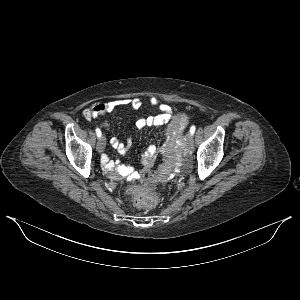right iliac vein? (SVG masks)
Masks as SVG:
<instances>
[{
  "label": "right iliac vein",
  "mask_w": 300,
  "mask_h": 300,
  "mask_svg": "<svg viewBox=\"0 0 300 300\" xmlns=\"http://www.w3.org/2000/svg\"><path fill=\"white\" fill-rule=\"evenodd\" d=\"M105 145H106V138L103 136L97 142V151L99 153L103 152L105 149Z\"/></svg>",
  "instance_id": "63e3f726"
}]
</instances>
